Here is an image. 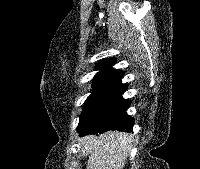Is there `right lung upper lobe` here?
Instances as JSON below:
<instances>
[{"label":"right lung upper lobe","instance_id":"1","mask_svg":"<svg viewBox=\"0 0 200 169\" xmlns=\"http://www.w3.org/2000/svg\"><path fill=\"white\" fill-rule=\"evenodd\" d=\"M116 63L114 58L103 59L96 65V70H100L94 77L93 87L120 85L124 72L114 69L112 66Z\"/></svg>","mask_w":200,"mask_h":169}]
</instances>
